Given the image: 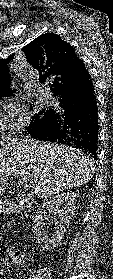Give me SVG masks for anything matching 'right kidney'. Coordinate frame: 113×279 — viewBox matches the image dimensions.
I'll return each instance as SVG.
<instances>
[{
	"label": "right kidney",
	"mask_w": 113,
	"mask_h": 279,
	"mask_svg": "<svg viewBox=\"0 0 113 279\" xmlns=\"http://www.w3.org/2000/svg\"><path fill=\"white\" fill-rule=\"evenodd\" d=\"M76 209L75 192H64L43 202L39 206L34 218L33 233L36 234L38 243L45 249L55 248L62 240ZM51 213L55 230L45 231L43 220Z\"/></svg>",
	"instance_id": "obj_1"
}]
</instances>
